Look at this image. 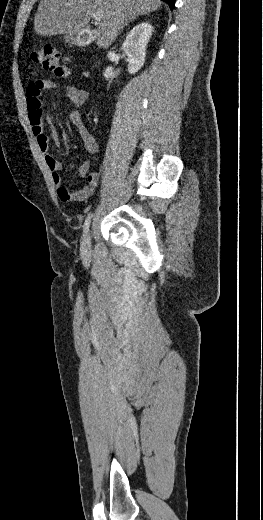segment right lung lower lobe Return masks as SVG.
Listing matches in <instances>:
<instances>
[{"label":"right lung lower lobe","mask_w":263,"mask_h":520,"mask_svg":"<svg viewBox=\"0 0 263 520\" xmlns=\"http://www.w3.org/2000/svg\"><path fill=\"white\" fill-rule=\"evenodd\" d=\"M162 1H165L169 5L171 10L173 9L175 0H162Z\"/></svg>","instance_id":"1"}]
</instances>
